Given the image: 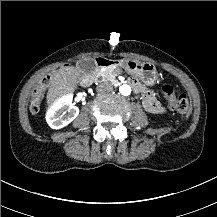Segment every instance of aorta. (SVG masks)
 Here are the masks:
<instances>
[{"instance_id": "obj_1", "label": "aorta", "mask_w": 217, "mask_h": 217, "mask_svg": "<svg viewBox=\"0 0 217 217\" xmlns=\"http://www.w3.org/2000/svg\"><path fill=\"white\" fill-rule=\"evenodd\" d=\"M119 92L124 96H128L131 94V87L127 84H123L119 87Z\"/></svg>"}]
</instances>
